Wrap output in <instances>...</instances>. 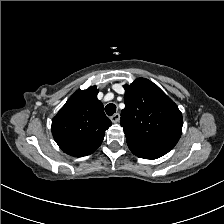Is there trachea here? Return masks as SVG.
I'll list each match as a JSON object with an SVG mask.
<instances>
[{"instance_id":"obj_1","label":"trachea","mask_w":224,"mask_h":224,"mask_svg":"<svg viewBox=\"0 0 224 224\" xmlns=\"http://www.w3.org/2000/svg\"><path fill=\"white\" fill-rule=\"evenodd\" d=\"M105 111L109 116H112L116 112V105L112 103L106 105Z\"/></svg>"}]
</instances>
